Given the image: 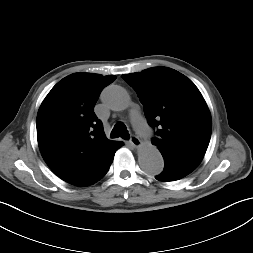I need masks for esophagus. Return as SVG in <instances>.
I'll use <instances>...</instances> for the list:
<instances>
[{"label":"esophagus","mask_w":253,"mask_h":253,"mask_svg":"<svg viewBox=\"0 0 253 253\" xmlns=\"http://www.w3.org/2000/svg\"><path fill=\"white\" fill-rule=\"evenodd\" d=\"M129 142H130L131 145L134 146L135 148H138V147L141 146V140H140L137 136H135V135H132V136L130 137V141H129Z\"/></svg>","instance_id":"34e87169"}]
</instances>
